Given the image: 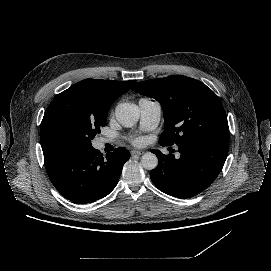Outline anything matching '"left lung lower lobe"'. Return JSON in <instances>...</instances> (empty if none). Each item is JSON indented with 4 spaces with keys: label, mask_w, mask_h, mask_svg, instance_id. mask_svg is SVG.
<instances>
[{
    "label": "left lung lower lobe",
    "mask_w": 271,
    "mask_h": 271,
    "mask_svg": "<svg viewBox=\"0 0 271 271\" xmlns=\"http://www.w3.org/2000/svg\"><path fill=\"white\" fill-rule=\"evenodd\" d=\"M178 147L179 159L172 154L164 155L152 150L158 157V166L151 171L150 178L160 191L168 195L194 197L204 191L222 170L229 140L201 137L197 143L180 144Z\"/></svg>",
    "instance_id": "0a47b994"
}]
</instances>
